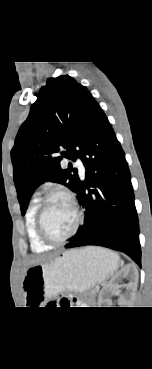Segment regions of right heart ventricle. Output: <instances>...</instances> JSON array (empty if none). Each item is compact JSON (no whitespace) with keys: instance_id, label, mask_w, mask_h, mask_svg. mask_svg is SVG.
Returning a JSON list of instances; mask_svg holds the SVG:
<instances>
[{"instance_id":"right-heart-ventricle-1","label":"right heart ventricle","mask_w":152,"mask_h":369,"mask_svg":"<svg viewBox=\"0 0 152 369\" xmlns=\"http://www.w3.org/2000/svg\"><path fill=\"white\" fill-rule=\"evenodd\" d=\"M40 197L38 195L34 196L28 206L25 224L28 239L30 242L31 249L34 252H44L50 248V245L44 243L38 235L36 229V214L40 203Z\"/></svg>"}]
</instances>
